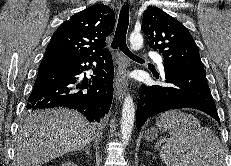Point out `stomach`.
<instances>
[{"mask_svg":"<svg viewBox=\"0 0 231 166\" xmlns=\"http://www.w3.org/2000/svg\"><path fill=\"white\" fill-rule=\"evenodd\" d=\"M158 136V130L156 128H150L147 130L145 138L147 141H153Z\"/></svg>","mask_w":231,"mask_h":166,"instance_id":"0dacf381","label":"stomach"}]
</instances>
